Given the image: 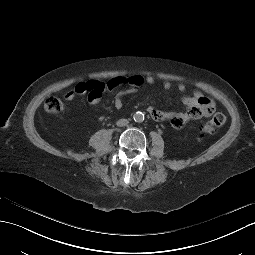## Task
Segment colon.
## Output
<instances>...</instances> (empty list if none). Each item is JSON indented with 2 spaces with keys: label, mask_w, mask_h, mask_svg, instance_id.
Returning <instances> with one entry per match:
<instances>
[{
  "label": "colon",
  "mask_w": 255,
  "mask_h": 255,
  "mask_svg": "<svg viewBox=\"0 0 255 255\" xmlns=\"http://www.w3.org/2000/svg\"><path fill=\"white\" fill-rule=\"evenodd\" d=\"M64 109V103L60 98L55 96L49 97L45 102V110L50 114H57ZM226 122V117L222 113H215L212 118L206 121L201 126V133L202 134H213L223 126Z\"/></svg>",
  "instance_id": "1"
}]
</instances>
